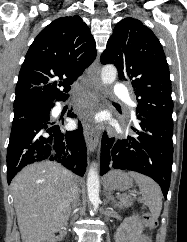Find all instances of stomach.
Returning <instances> with one entry per match:
<instances>
[{
  "mask_svg": "<svg viewBox=\"0 0 187 242\" xmlns=\"http://www.w3.org/2000/svg\"><path fill=\"white\" fill-rule=\"evenodd\" d=\"M133 186L132 177L123 171H111L104 178V187L107 190L125 191Z\"/></svg>",
  "mask_w": 187,
  "mask_h": 242,
  "instance_id": "stomach-1",
  "label": "stomach"
}]
</instances>
